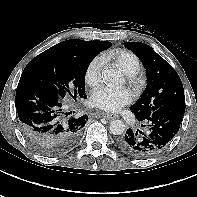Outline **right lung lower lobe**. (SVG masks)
<instances>
[{
  "mask_svg": "<svg viewBox=\"0 0 197 197\" xmlns=\"http://www.w3.org/2000/svg\"><path fill=\"white\" fill-rule=\"evenodd\" d=\"M63 102L49 86L20 79L15 106L24 135L50 153H62L73 147L88 120L83 115L70 117Z\"/></svg>",
  "mask_w": 197,
  "mask_h": 197,
  "instance_id": "1",
  "label": "right lung lower lobe"
}]
</instances>
